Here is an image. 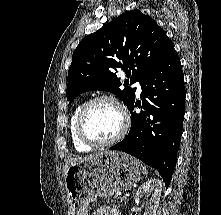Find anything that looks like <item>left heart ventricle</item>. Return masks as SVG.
I'll use <instances>...</instances> for the list:
<instances>
[{
  "label": "left heart ventricle",
  "mask_w": 221,
  "mask_h": 215,
  "mask_svg": "<svg viewBox=\"0 0 221 215\" xmlns=\"http://www.w3.org/2000/svg\"><path fill=\"white\" fill-rule=\"evenodd\" d=\"M121 125V115L116 106L109 101L94 104L85 119L86 133L96 140H107L114 137Z\"/></svg>",
  "instance_id": "obj_1"
}]
</instances>
